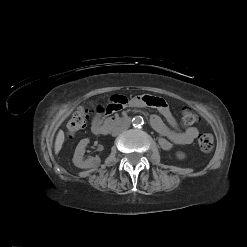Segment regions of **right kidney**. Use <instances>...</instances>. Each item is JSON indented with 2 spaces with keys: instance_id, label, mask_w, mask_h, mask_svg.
Returning <instances> with one entry per match:
<instances>
[{
  "instance_id": "right-kidney-1",
  "label": "right kidney",
  "mask_w": 247,
  "mask_h": 247,
  "mask_svg": "<svg viewBox=\"0 0 247 247\" xmlns=\"http://www.w3.org/2000/svg\"><path fill=\"white\" fill-rule=\"evenodd\" d=\"M89 143V139L85 138L82 139L76 149L75 153L73 156V163L76 167L81 168V169H88V168H93L96 167L100 164L101 160L98 156L96 157H90L86 160H83V155L85 153V147Z\"/></svg>"
}]
</instances>
